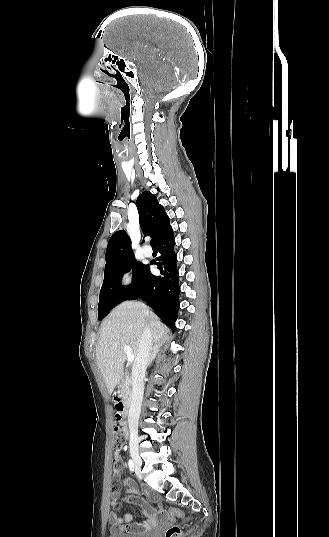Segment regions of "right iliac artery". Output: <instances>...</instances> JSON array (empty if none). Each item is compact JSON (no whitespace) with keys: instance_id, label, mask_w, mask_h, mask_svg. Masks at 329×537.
Listing matches in <instances>:
<instances>
[{"instance_id":"obj_1","label":"right iliac artery","mask_w":329,"mask_h":537,"mask_svg":"<svg viewBox=\"0 0 329 537\" xmlns=\"http://www.w3.org/2000/svg\"><path fill=\"white\" fill-rule=\"evenodd\" d=\"M128 465H129L130 471L133 472L134 471V463H133V461L131 459L128 461Z\"/></svg>"}]
</instances>
